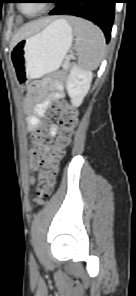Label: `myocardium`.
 <instances>
[{"instance_id": "1", "label": "myocardium", "mask_w": 136, "mask_h": 296, "mask_svg": "<svg viewBox=\"0 0 136 296\" xmlns=\"http://www.w3.org/2000/svg\"><path fill=\"white\" fill-rule=\"evenodd\" d=\"M20 9H21V11L23 12V13H25V14H27V15H30V16H33L34 14H36L37 12H35V13H33V14H29V13H27L25 10H24V8H23V4H21L20 5Z\"/></svg>"}]
</instances>
